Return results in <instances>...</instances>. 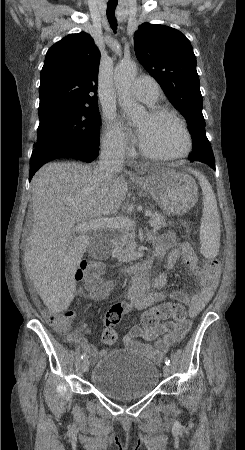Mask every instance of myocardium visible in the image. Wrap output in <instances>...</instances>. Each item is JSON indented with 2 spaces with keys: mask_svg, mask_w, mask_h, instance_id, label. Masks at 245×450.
Instances as JSON below:
<instances>
[{
  "mask_svg": "<svg viewBox=\"0 0 245 450\" xmlns=\"http://www.w3.org/2000/svg\"><path fill=\"white\" fill-rule=\"evenodd\" d=\"M149 116L154 120L168 118V119L174 121L175 123H177L185 134L187 144H186L185 150L182 153L176 154V155H166V156L151 153V152L147 151L142 145H140V152L144 157L152 159L154 161H158V162H169V161L179 160V159L185 158L188 155H190V153L193 150V139H192V136H191V133H190L188 127L176 113H174L172 110H169V109H154L150 112Z\"/></svg>",
  "mask_w": 245,
  "mask_h": 450,
  "instance_id": "f54148a6",
  "label": "myocardium"
}]
</instances>
